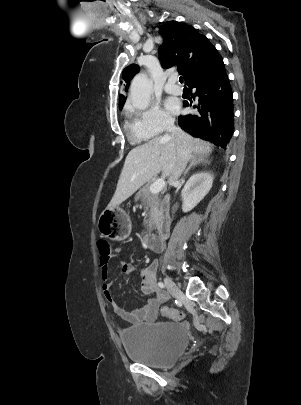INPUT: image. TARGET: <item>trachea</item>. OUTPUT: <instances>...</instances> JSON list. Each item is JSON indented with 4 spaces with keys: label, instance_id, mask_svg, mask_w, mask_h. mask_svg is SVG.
Listing matches in <instances>:
<instances>
[{
    "label": "trachea",
    "instance_id": "trachea-1",
    "mask_svg": "<svg viewBox=\"0 0 301 405\" xmlns=\"http://www.w3.org/2000/svg\"><path fill=\"white\" fill-rule=\"evenodd\" d=\"M179 82L183 83V77H179Z\"/></svg>",
    "mask_w": 301,
    "mask_h": 405
}]
</instances>
